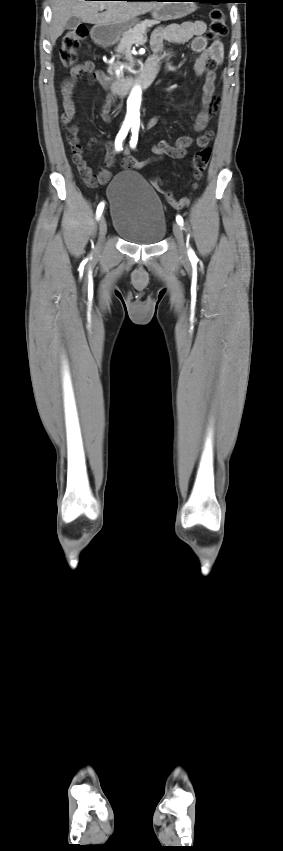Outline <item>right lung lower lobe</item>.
Instances as JSON below:
<instances>
[{
  "label": "right lung lower lobe",
  "mask_w": 283,
  "mask_h": 851,
  "mask_svg": "<svg viewBox=\"0 0 283 851\" xmlns=\"http://www.w3.org/2000/svg\"><path fill=\"white\" fill-rule=\"evenodd\" d=\"M127 1H157V0H127Z\"/></svg>",
  "instance_id": "98d812e1"
}]
</instances>
